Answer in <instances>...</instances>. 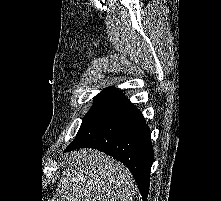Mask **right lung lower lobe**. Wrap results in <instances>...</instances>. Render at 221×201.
I'll use <instances>...</instances> for the list:
<instances>
[{"label":"right lung lower lobe","instance_id":"right-lung-lower-lobe-1","mask_svg":"<svg viewBox=\"0 0 221 201\" xmlns=\"http://www.w3.org/2000/svg\"><path fill=\"white\" fill-rule=\"evenodd\" d=\"M95 148L121 161L133 174L146 201L154 161L150 131L142 113L121 91L82 127L65 152Z\"/></svg>","mask_w":221,"mask_h":201}]
</instances>
